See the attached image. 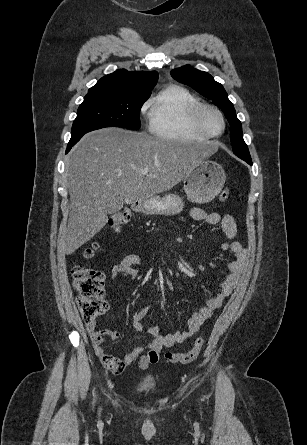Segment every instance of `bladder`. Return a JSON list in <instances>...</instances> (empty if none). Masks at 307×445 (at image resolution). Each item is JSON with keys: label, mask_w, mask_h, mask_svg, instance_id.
I'll return each instance as SVG.
<instances>
[{"label": "bladder", "mask_w": 307, "mask_h": 445, "mask_svg": "<svg viewBox=\"0 0 307 445\" xmlns=\"http://www.w3.org/2000/svg\"><path fill=\"white\" fill-rule=\"evenodd\" d=\"M157 387V381L152 377H145L136 383V390L138 392L152 391Z\"/></svg>", "instance_id": "1"}]
</instances>
